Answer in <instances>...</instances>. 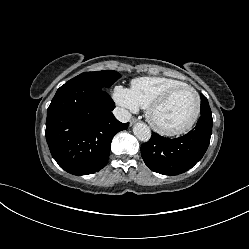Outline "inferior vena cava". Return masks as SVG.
Wrapping results in <instances>:
<instances>
[{
    "label": "inferior vena cava",
    "instance_id": "obj_1",
    "mask_svg": "<svg viewBox=\"0 0 249 249\" xmlns=\"http://www.w3.org/2000/svg\"><path fill=\"white\" fill-rule=\"evenodd\" d=\"M113 114L116 117L117 120H119L122 123H126L131 119V114L129 111H127L124 108L116 107L113 110Z\"/></svg>",
    "mask_w": 249,
    "mask_h": 249
}]
</instances>
